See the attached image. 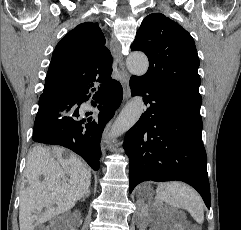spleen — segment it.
Listing matches in <instances>:
<instances>
[{
    "label": "spleen",
    "mask_w": 241,
    "mask_h": 230,
    "mask_svg": "<svg viewBox=\"0 0 241 230\" xmlns=\"http://www.w3.org/2000/svg\"><path fill=\"white\" fill-rule=\"evenodd\" d=\"M156 195L173 207L187 210L198 223H203V201L191 187L179 182L162 183L157 187Z\"/></svg>",
    "instance_id": "3e777b00"
}]
</instances>
